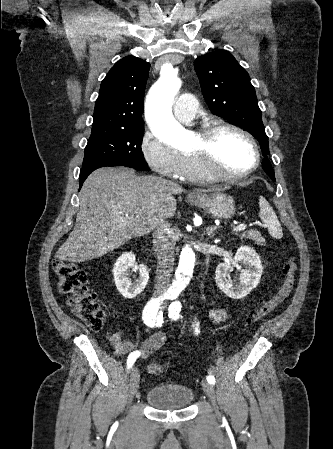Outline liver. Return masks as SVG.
<instances>
[{"mask_svg":"<svg viewBox=\"0 0 333 449\" xmlns=\"http://www.w3.org/2000/svg\"><path fill=\"white\" fill-rule=\"evenodd\" d=\"M181 192L176 183L138 177L132 169L94 171L82 186L74 230L57 257L84 262L119 248L133 236L149 233L157 221L174 216V195Z\"/></svg>","mask_w":333,"mask_h":449,"instance_id":"obj_1","label":"liver"}]
</instances>
